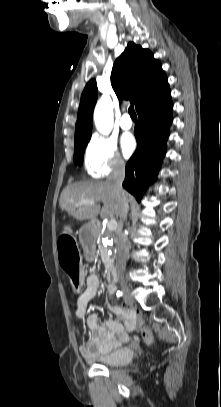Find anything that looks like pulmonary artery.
Returning <instances> with one entry per match:
<instances>
[{
    "mask_svg": "<svg viewBox=\"0 0 221 407\" xmlns=\"http://www.w3.org/2000/svg\"><path fill=\"white\" fill-rule=\"evenodd\" d=\"M120 127L124 130H129L133 126V122L128 113H124L120 119Z\"/></svg>",
    "mask_w": 221,
    "mask_h": 407,
    "instance_id": "1",
    "label": "pulmonary artery"
}]
</instances>
